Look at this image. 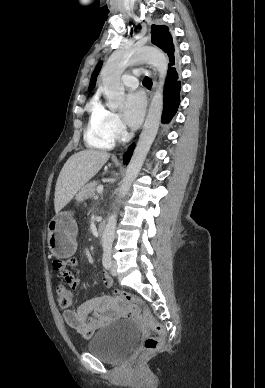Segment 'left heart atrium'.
I'll use <instances>...</instances> for the list:
<instances>
[{
	"label": "left heart atrium",
	"instance_id": "left-heart-atrium-1",
	"mask_svg": "<svg viewBox=\"0 0 265 388\" xmlns=\"http://www.w3.org/2000/svg\"><path fill=\"white\" fill-rule=\"evenodd\" d=\"M145 111V99L141 92L133 91L125 96L123 119L131 126H136L142 120Z\"/></svg>",
	"mask_w": 265,
	"mask_h": 388
}]
</instances>
